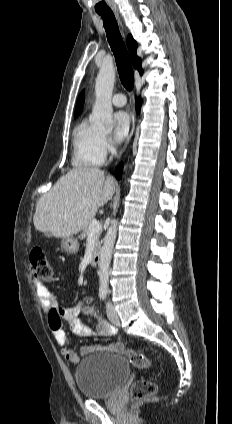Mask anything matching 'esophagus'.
Here are the masks:
<instances>
[{"label":"esophagus","mask_w":232,"mask_h":424,"mask_svg":"<svg viewBox=\"0 0 232 424\" xmlns=\"http://www.w3.org/2000/svg\"><path fill=\"white\" fill-rule=\"evenodd\" d=\"M115 15H116V18L118 19L119 23L121 24L118 13H116ZM136 120H137V117H136L135 107L133 105L132 113H131V129H130V133H129L128 137H127V140L125 142V145H124L122 151L120 152L119 156H121V154L125 151V149H126L127 145L129 144L132 136L134 135L135 128H136Z\"/></svg>","instance_id":"1"}]
</instances>
